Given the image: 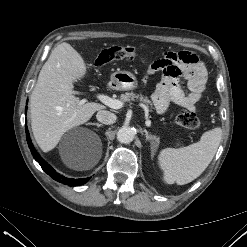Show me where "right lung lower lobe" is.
<instances>
[{
    "label": "right lung lower lobe",
    "mask_w": 247,
    "mask_h": 247,
    "mask_svg": "<svg viewBox=\"0 0 247 247\" xmlns=\"http://www.w3.org/2000/svg\"><path fill=\"white\" fill-rule=\"evenodd\" d=\"M25 131H26V137H27L28 146H29V148L31 150V153H32L34 159L41 165L42 169L48 175H50L54 180H56V181H58L60 183L69 185V186L83 185L89 180V178H80V179L66 178L65 176L57 173L47 162H45L40 157V155L37 153V151L33 147V144H32L31 139L29 137V132H28L27 126L25 127Z\"/></svg>",
    "instance_id": "obj_1"
}]
</instances>
